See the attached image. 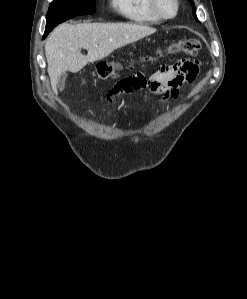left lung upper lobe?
<instances>
[{
  "label": "left lung upper lobe",
  "instance_id": "left-lung-upper-lobe-1",
  "mask_svg": "<svg viewBox=\"0 0 247 299\" xmlns=\"http://www.w3.org/2000/svg\"><path fill=\"white\" fill-rule=\"evenodd\" d=\"M189 2H190L191 5L193 6V15H194V17L197 19L194 2H193L192 0H189ZM197 20H198V19H197Z\"/></svg>",
  "mask_w": 247,
  "mask_h": 299
}]
</instances>
